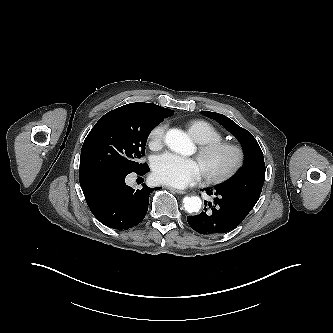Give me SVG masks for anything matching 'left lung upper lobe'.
<instances>
[{
	"label": "left lung upper lobe",
	"mask_w": 333,
	"mask_h": 333,
	"mask_svg": "<svg viewBox=\"0 0 333 333\" xmlns=\"http://www.w3.org/2000/svg\"><path fill=\"white\" fill-rule=\"evenodd\" d=\"M205 116L215 119L241 143L245 152V167L240 170L236 177L219 185L225 191L248 195L256 200L259 199L263 183L265 181V163L262 150L253 135L246 129L238 126L230 118L210 111H202Z\"/></svg>",
	"instance_id": "5c2ea615"
}]
</instances>
